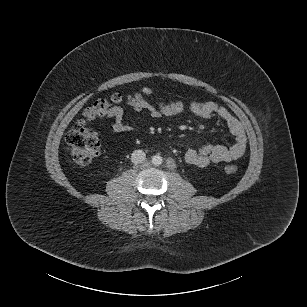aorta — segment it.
I'll use <instances>...</instances> for the list:
<instances>
[{
  "instance_id": "762f6f07",
  "label": "aorta",
  "mask_w": 307,
  "mask_h": 307,
  "mask_svg": "<svg viewBox=\"0 0 307 307\" xmlns=\"http://www.w3.org/2000/svg\"><path fill=\"white\" fill-rule=\"evenodd\" d=\"M151 162L153 165L159 166L163 163V158L160 155H154L151 158Z\"/></svg>"
}]
</instances>
